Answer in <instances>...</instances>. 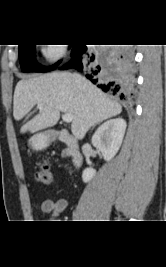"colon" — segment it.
<instances>
[{"mask_svg":"<svg viewBox=\"0 0 166 267\" xmlns=\"http://www.w3.org/2000/svg\"><path fill=\"white\" fill-rule=\"evenodd\" d=\"M36 179L38 182L42 184H50L52 181V173L50 170V166L47 162L41 163L36 170Z\"/></svg>","mask_w":166,"mask_h":267,"instance_id":"colon-1","label":"colon"}]
</instances>
